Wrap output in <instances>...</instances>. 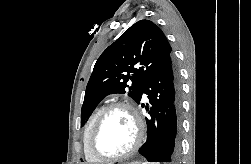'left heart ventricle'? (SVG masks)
<instances>
[{"label": "left heart ventricle", "mask_w": 251, "mask_h": 164, "mask_svg": "<svg viewBox=\"0 0 251 164\" xmlns=\"http://www.w3.org/2000/svg\"><path fill=\"white\" fill-rule=\"evenodd\" d=\"M136 138V126L131 114L123 108L113 110L103 122L95 141L96 150L104 156L125 153Z\"/></svg>", "instance_id": "obj_1"}]
</instances>
